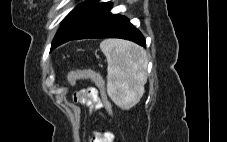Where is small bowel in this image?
<instances>
[{
	"label": "small bowel",
	"instance_id": "small-bowel-1",
	"mask_svg": "<svg viewBox=\"0 0 227 142\" xmlns=\"http://www.w3.org/2000/svg\"><path fill=\"white\" fill-rule=\"evenodd\" d=\"M73 97L76 102L88 105L92 111L97 110L102 117L106 118V115L101 113L104 104L97 89L93 87L80 89L74 93ZM91 142H116V136L112 131L95 130Z\"/></svg>",
	"mask_w": 227,
	"mask_h": 142
}]
</instances>
